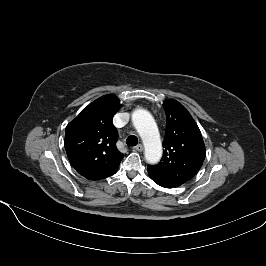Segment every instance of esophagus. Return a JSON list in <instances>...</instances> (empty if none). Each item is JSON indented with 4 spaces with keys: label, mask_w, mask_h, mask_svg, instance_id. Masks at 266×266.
I'll use <instances>...</instances> for the list:
<instances>
[{
    "label": "esophagus",
    "mask_w": 266,
    "mask_h": 266,
    "mask_svg": "<svg viewBox=\"0 0 266 266\" xmlns=\"http://www.w3.org/2000/svg\"><path fill=\"white\" fill-rule=\"evenodd\" d=\"M134 150L138 151V152H142L143 151V145L142 144H138L136 147H134Z\"/></svg>",
    "instance_id": "34e87169"
}]
</instances>
